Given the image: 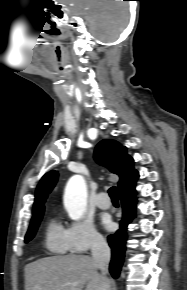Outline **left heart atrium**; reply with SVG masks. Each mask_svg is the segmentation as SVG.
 Masks as SVG:
<instances>
[{
    "label": "left heart atrium",
    "instance_id": "obj_1",
    "mask_svg": "<svg viewBox=\"0 0 187 290\" xmlns=\"http://www.w3.org/2000/svg\"><path fill=\"white\" fill-rule=\"evenodd\" d=\"M102 224H103V226H104L105 228H110V226H111V221H110V219H108V218H104V219L102 220Z\"/></svg>",
    "mask_w": 187,
    "mask_h": 290
}]
</instances>
